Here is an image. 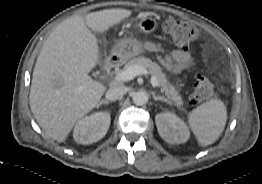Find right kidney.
I'll return each instance as SVG.
<instances>
[{
    "mask_svg": "<svg viewBox=\"0 0 262 184\" xmlns=\"http://www.w3.org/2000/svg\"><path fill=\"white\" fill-rule=\"evenodd\" d=\"M108 112H96L80 119L74 128L73 138L80 144H92L102 139L110 126Z\"/></svg>",
    "mask_w": 262,
    "mask_h": 184,
    "instance_id": "ca27d5eb",
    "label": "right kidney"
}]
</instances>
